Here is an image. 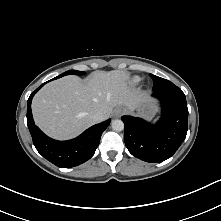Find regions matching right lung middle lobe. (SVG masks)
I'll use <instances>...</instances> for the list:
<instances>
[{"label": "right lung middle lobe", "mask_w": 221, "mask_h": 221, "mask_svg": "<svg viewBox=\"0 0 221 221\" xmlns=\"http://www.w3.org/2000/svg\"><path fill=\"white\" fill-rule=\"evenodd\" d=\"M70 74L83 75V74H85V72H82V71H76V70H69V71L64 72L63 74L57 76V77L54 78V79H57V78L63 77V76H65V75H70Z\"/></svg>", "instance_id": "dd1d6c3e"}]
</instances>
